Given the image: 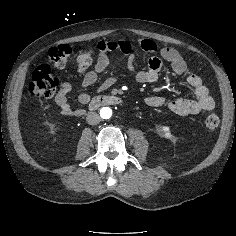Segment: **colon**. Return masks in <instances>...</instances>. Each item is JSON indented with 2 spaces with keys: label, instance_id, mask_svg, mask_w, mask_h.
<instances>
[{
  "label": "colon",
  "instance_id": "obj_1",
  "mask_svg": "<svg viewBox=\"0 0 236 236\" xmlns=\"http://www.w3.org/2000/svg\"><path fill=\"white\" fill-rule=\"evenodd\" d=\"M48 55L55 66L64 67L74 57V52L69 45L63 44L50 48ZM92 60L93 53L90 50L77 53L75 61L79 72L87 70ZM58 87V78L53 76L49 65L43 64L38 66L32 74L29 93L34 98H48L54 95ZM204 123L208 128L215 129L218 127L220 119L215 113H209L205 116Z\"/></svg>",
  "mask_w": 236,
  "mask_h": 236
}]
</instances>
